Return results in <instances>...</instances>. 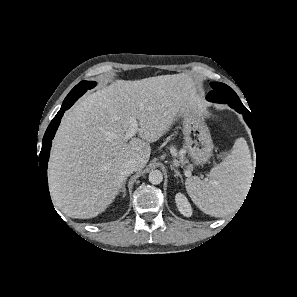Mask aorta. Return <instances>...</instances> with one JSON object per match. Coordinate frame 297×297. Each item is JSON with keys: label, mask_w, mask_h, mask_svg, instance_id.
I'll return each instance as SVG.
<instances>
[{"label": "aorta", "mask_w": 297, "mask_h": 297, "mask_svg": "<svg viewBox=\"0 0 297 297\" xmlns=\"http://www.w3.org/2000/svg\"><path fill=\"white\" fill-rule=\"evenodd\" d=\"M163 180V174L159 170H153L149 173V182L153 185H158Z\"/></svg>", "instance_id": "762f6f07"}]
</instances>
